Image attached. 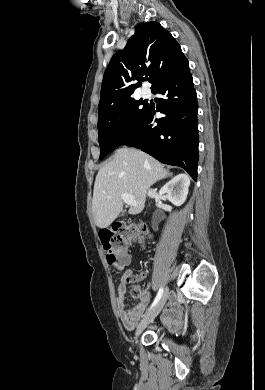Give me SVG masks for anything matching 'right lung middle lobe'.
<instances>
[{"label": "right lung middle lobe", "instance_id": "obj_1", "mask_svg": "<svg viewBox=\"0 0 265 390\" xmlns=\"http://www.w3.org/2000/svg\"><path fill=\"white\" fill-rule=\"evenodd\" d=\"M148 109V104L130 98L98 113L100 160L128 138L145 118Z\"/></svg>", "mask_w": 265, "mask_h": 390}]
</instances>
